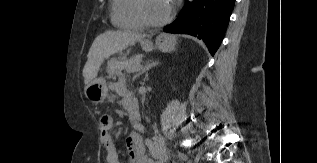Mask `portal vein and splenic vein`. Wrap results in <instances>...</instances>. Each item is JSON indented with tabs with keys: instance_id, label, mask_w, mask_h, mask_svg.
<instances>
[{
	"instance_id": "portal-vein-and-splenic-vein-1",
	"label": "portal vein and splenic vein",
	"mask_w": 317,
	"mask_h": 163,
	"mask_svg": "<svg viewBox=\"0 0 317 163\" xmlns=\"http://www.w3.org/2000/svg\"><path fill=\"white\" fill-rule=\"evenodd\" d=\"M140 67H141V65H140V64H137V65H135L131 70H129V72L137 71Z\"/></svg>"
}]
</instances>
